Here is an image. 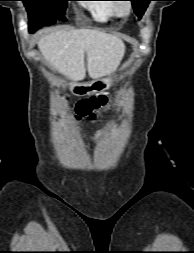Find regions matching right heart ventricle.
<instances>
[{"label": "right heart ventricle", "instance_id": "obj_1", "mask_svg": "<svg viewBox=\"0 0 194 253\" xmlns=\"http://www.w3.org/2000/svg\"><path fill=\"white\" fill-rule=\"evenodd\" d=\"M92 17L98 22H111L120 17L116 3L111 0L92 1L85 4Z\"/></svg>", "mask_w": 194, "mask_h": 253}]
</instances>
